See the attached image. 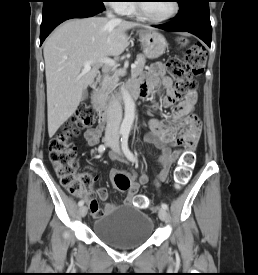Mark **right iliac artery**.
<instances>
[{"label":"right iliac artery","mask_w":258,"mask_h":275,"mask_svg":"<svg viewBox=\"0 0 258 275\" xmlns=\"http://www.w3.org/2000/svg\"><path fill=\"white\" fill-rule=\"evenodd\" d=\"M120 134H123V132H120ZM105 149H106V146L103 145V144H101V145L98 147V152H99V153H102V152L105 151ZM83 204H84V201H83V200H81V201L78 202V205H79V206H83Z\"/></svg>","instance_id":"obj_1"}]
</instances>
